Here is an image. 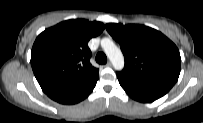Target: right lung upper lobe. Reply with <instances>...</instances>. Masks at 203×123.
Masks as SVG:
<instances>
[{
    "mask_svg": "<svg viewBox=\"0 0 203 123\" xmlns=\"http://www.w3.org/2000/svg\"><path fill=\"white\" fill-rule=\"evenodd\" d=\"M103 30L101 22L75 19L63 21L38 35L31 51V66L45 93L99 78V70L89 61L88 41Z\"/></svg>",
    "mask_w": 203,
    "mask_h": 123,
    "instance_id": "obj_1",
    "label": "right lung upper lobe"
}]
</instances>
